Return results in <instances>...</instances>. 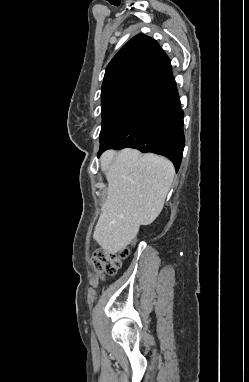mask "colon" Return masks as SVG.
Instances as JSON below:
<instances>
[{"label": "colon", "instance_id": "colon-1", "mask_svg": "<svg viewBox=\"0 0 249 382\" xmlns=\"http://www.w3.org/2000/svg\"><path fill=\"white\" fill-rule=\"evenodd\" d=\"M128 251L126 249L119 253H109L105 250H97L93 254L92 265L95 270L108 275L115 274L120 266L121 259L127 256Z\"/></svg>", "mask_w": 249, "mask_h": 382}]
</instances>
